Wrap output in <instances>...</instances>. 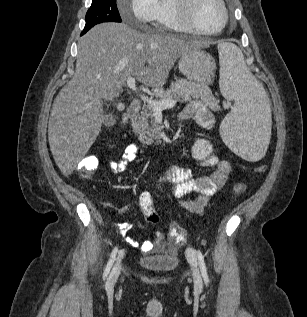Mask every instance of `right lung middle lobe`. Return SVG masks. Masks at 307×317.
<instances>
[{"label": "right lung middle lobe", "mask_w": 307, "mask_h": 317, "mask_svg": "<svg viewBox=\"0 0 307 317\" xmlns=\"http://www.w3.org/2000/svg\"><path fill=\"white\" fill-rule=\"evenodd\" d=\"M121 21L116 0H92V5L86 13V25L82 34L98 23Z\"/></svg>", "instance_id": "1"}]
</instances>
